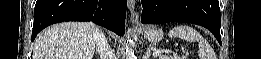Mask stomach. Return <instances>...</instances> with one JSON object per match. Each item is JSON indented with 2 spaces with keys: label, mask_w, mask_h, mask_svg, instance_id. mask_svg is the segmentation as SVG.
Segmentation results:
<instances>
[{
  "label": "stomach",
  "mask_w": 261,
  "mask_h": 59,
  "mask_svg": "<svg viewBox=\"0 0 261 59\" xmlns=\"http://www.w3.org/2000/svg\"><path fill=\"white\" fill-rule=\"evenodd\" d=\"M142 33L149 42H159L163 39V31L155 26L143 27Z\"/></svg>",
  "instance_id": "0dacf381"
}]
</instances>
